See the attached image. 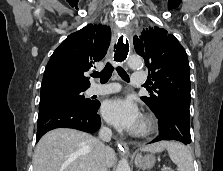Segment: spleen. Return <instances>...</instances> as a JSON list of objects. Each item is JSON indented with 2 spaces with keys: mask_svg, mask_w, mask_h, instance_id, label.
<instances>
[{
  "mask_svg": "<svg viewBox=\"0 0 223 171\" xmlns=\"http://www.w3.org/2000/svg\"><path fill=\"white\" fill-rule=\"evenodd\" d=\"M171 160L177 165L179 171H194L193 157L186 146L178 142H163Z\"/></svg>",
  "mask_w": 223,
  "mask_h": 171,
  "instance_id": "1",
  "label": "spleen"
}]
</instances>
